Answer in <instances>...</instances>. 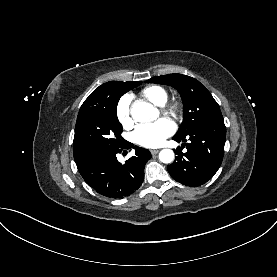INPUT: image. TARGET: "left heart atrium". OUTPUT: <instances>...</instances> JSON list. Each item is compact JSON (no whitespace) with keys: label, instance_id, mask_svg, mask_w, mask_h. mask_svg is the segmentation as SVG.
I'll return each mask as SVG.
<instances>
[{"label":"left heart atrium","instance_id":"left-heart-atrium-1","mask_svg":"<svg viewBox=\"0 0 277 277\" xmlns=\"http://www.w3.org/2000/svg\"><path fill=\"white\" fill-rule=\"evenodd\" d=\"M174 131V124L168 119L162 118L153 123L138 126L133 133V140L144 147H158L162 145L165 139L171 136Z\"/></svg>","mask_w":277,"mask_h":277}]
</instances>
